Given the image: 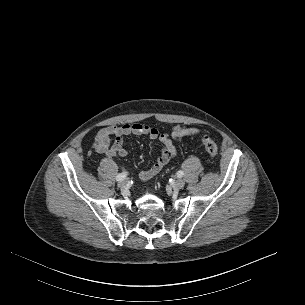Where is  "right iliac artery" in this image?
<instances>
[{
  "instance_id": "obj_1",
  "label": "right iliac artery",
  "mask_w": 305,
  "mask_h": 305,
  "mask_svg": "<svg viewBox=\"0 0 305 305\" xmlns=\"http://www.w3.org/2000/svg\"><path fill=\"white\" fill-rule=\"evenodd\" d=\"M126 176H127V173H126V172L120 173V174H118V175L116 176V180L119 181V182H121V181H123V180L126 178Z\"/></svg>"
}]
</instances>
